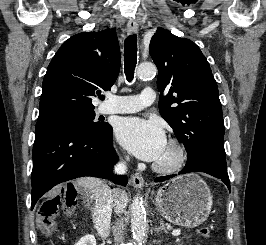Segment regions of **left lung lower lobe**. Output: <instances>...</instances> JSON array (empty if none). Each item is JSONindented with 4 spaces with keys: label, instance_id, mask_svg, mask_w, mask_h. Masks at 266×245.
<instances>
[{
    "label": "left lung lower lobe",
    "instance_id": "left-lung-lower-lobe-1",
    "mask_svg": "<svg viewBox=\"0 0 266 245\" xmlns=\"http://www.w3.org/2000/svg\"><path fill=\"white\" fill-rule=\"evenodd\" d=\"M190 172H204L212 175L216 178L221 179L230 190V181L227 173L226 158L214 150H208L194 160L187 162L185 167L178 173L185 174ZM177 174L157 177L155 182L165 181L170 179Z\"/></svg>",
    "mask_w": 266,
    "mask_h": 245
}]
</instances>
